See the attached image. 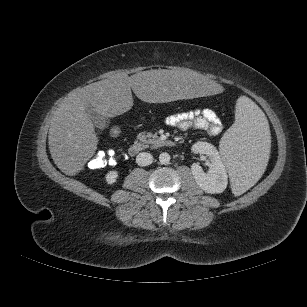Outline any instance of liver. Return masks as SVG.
<instances>
[{
	"label": "liver",
	"instance_id": "obj_1",
	"mask_svg": "<svg viewBox=\"0 0 307 307\" xmlns=\"http://www.w3.org/2000/svg\"><path fill=\"white\" fill-rule=\"evenodd\" d=\"M131 89L147 103H166L207 95L218 98L224 86L191 69L149 70L128 76L119 73L71 91L51 118L48 144L56 166L76 175L95 154L98 139L87 113L93 107L103 117L121 115L133 106Z\"/></svg>",
	"mask_w": 307,
	"mask_h": 307
}]
</instances>
